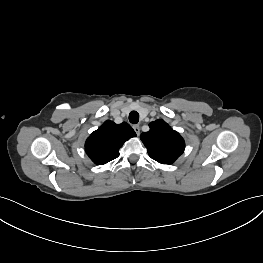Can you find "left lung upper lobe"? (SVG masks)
<instances>
[{
    "mask_svg": "<svg viewBox=\"0 0 263 263\" xmlns=\"http://www.w3.org/2000/svg\"><path fill=\"white\" fill-rule=\"evenodd\" d=\"M149 127L140 136L149 156L161 164H172L184 152L183 138L161 119L151 122Z\"/></svg>",
    "mask_w": 263,
    "mask_h": 263,
    "instance_id": "obj_1",
    "label": "left lung upper lobe"
}]
</instances>
